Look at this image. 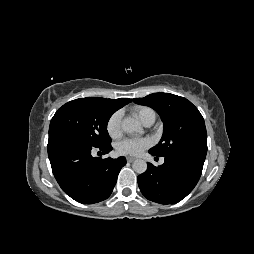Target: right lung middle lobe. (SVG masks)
Masks as SVG:
<instances>
[{"instance_id":"obj_1","label":"right lung middle lobe","mask_w":254,"mask_h":254,"mask_svg":"<svg viewBox=\"0 0 254 254\" xmlns=\"http://www.w3.org/2000/svg\"><path fill=\"white\" fill-rule=\"evenodd\" d=\"M115 110L104 98H80L64 104L50 122L49 135L78 138L95 147L110 144L107 124Z\"/></svg>"}]
</instances>
